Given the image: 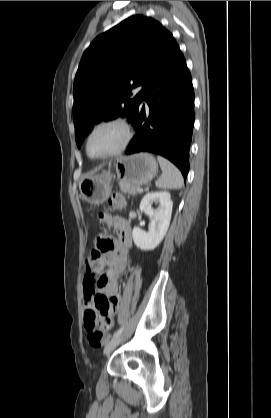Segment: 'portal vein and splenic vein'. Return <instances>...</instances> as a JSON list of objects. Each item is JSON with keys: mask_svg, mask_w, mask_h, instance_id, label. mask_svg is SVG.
<instances>
[{"mask_svg": "<svg viewBox=\"0 0 271 418\" xmlns=\"http://www.w3.org/2000/svg\"><path fill=\"white\" fill-rule=\"evenodd\" d=\"M137 191L141 193L143 191V189L142 188H138Z\"/></svg>", "mask_w": 271, "mask_h": 418, "instance_id": "portal-vein-and-splenic-vein-1", "label": "portal vein and splenic vein"}]
</instances>
